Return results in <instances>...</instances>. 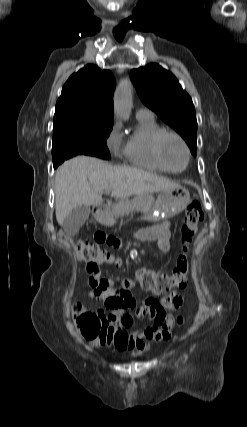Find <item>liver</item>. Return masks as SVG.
I'll return each mask as SVG.
<instances>
[{
    "mask_svg": "<svg viewBox=\"0 0 247 427\" xmlns=\"http://www.w3.org/2000/svg\"><path fill=\"white\" fill-rule=\"evenodd\" d=\"M55 185V210L59 225H63L66 216L77 206L99 204L104 192L123 198L179 186L143 169L111 166L89 156H77L59 166Z\"/></svg>",
    "mask_w": 247,
    "mask_h": 427,
    "instance_id": "obj_1",
    "label": "liver"
}]
</instances>
